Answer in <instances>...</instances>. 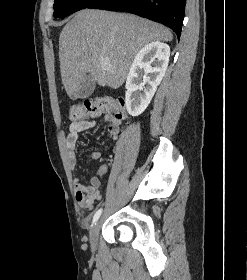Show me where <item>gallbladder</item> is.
<instances>
[{"label":"gallbladder","mask_w":247,"mask_h":280,"mask_svg":"<svg viewBox=\"0 0 247 280\" xmlns=\"http://www.w3.org/2000/svg\"><path fill=\"white\" fill-rule=\"evenodd\" d=\"M94 89L95 81L92 76L88 75L79 86L76 94L72 96V99L87 98L93 93Z\"/></svg>","instance_id":"gallbladder-1"}]
</instances>
